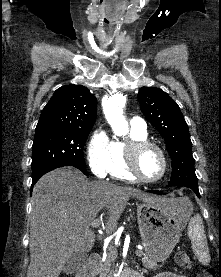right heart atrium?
<instances>
[{"label":"right heart atrium","mask_w":221,"mask_h":277,"mask_svg":"<svg viewBox=\"0 0 221 277\" xmlns=\"http://www.w3.org/2000/svg\"><path fill=\"white\" fill-rule=\"evenodd\" d=\"M110 144L111 141L103 128L96 129L88 141L86 147L87 162L97 177H104L107 173Z\"/></svg>","instance_id":"obj_1"}]
</instances>
